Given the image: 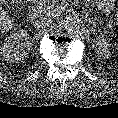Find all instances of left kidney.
I'll return each instance as SVG.
<instances>
[{"label":"left kidney","mask_w":118,"mask_h":118,"mask_svg":"<svg viewBox=\"0 0 118 118\" xmlns=\"http://www.w3.org/2000/svg\"><path fill=\"white\" fill-rule=\"evenodd\" d=\"M93 47L95 48V53L102 58H110V45L106 38L97 36L93 40Z\"/></svg>","instance_id":"left-kidney-1"}]
</instances>
